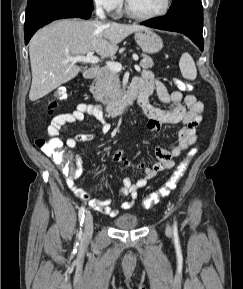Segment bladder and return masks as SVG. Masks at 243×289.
I'll use <instances>...</instances> for the list:
<instances>
[{
	"label": "bladder",
	"instance_id": "1",
	"mask_svg": "<svg viewBox=\"0 0 243 289\" xmlns=\"http://www.w3.org/2000/svg\"><path fill=\"white\" fill-rule=\"evenodd\" d=\"M114 225L122 230L134 229L138 226V218L131 213L122 214L114 220Z\"/></svg>",
	"mask_w": 243,
	"mask_h": 289
}]
</instances>
